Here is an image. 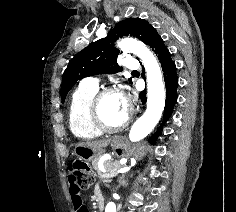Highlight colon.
I'll return each mask as SVG.
<instances>
[{
	"instance_id": "5ec220e1",
	"label": "colon",
	"mask_w": 236,
	"mask_h": 212,
	"mask_svg": "<svg viewBox=\"0 0 236 212\" xmlns=\"http://www.w3.org/2000/svg\"><path fill=\"white\" fill-rule=\"evenodd\" d=\"M70 175H78L82 185L89 187L94 182V173L88 164L82 161H72L69 165Z\"/></svg>"
}]
</instances>
